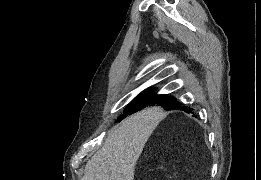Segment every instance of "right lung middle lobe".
<instances>
[{
    "label": "right lung middle lobe",
    "mask_w": 261,
    "mask_h": 180,
    "mask_svg": "<svg viewBox=\"0 0 261 180\" xmlns=\"http://www.w3.org/2000/svg\"><path fill=\"white\" fill-rule=\"evenodd\" d=\"M150 91H144L139 96H137L124 110V114L119 117V121L122 118L126 117L129 114L137 112L142 108H145L149 105H160L165 110L169 111L174 109L179 104L174 97H168L166 95H152Z\"/></svg>",
    "instance_id": "dd1d6c3e"
}]
</instances>
